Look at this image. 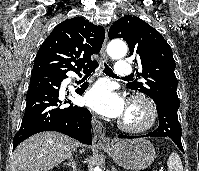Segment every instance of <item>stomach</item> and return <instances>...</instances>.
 Masks as SVG:
<instances>
[{"mask_svg":"<svg viewBox=\"0 0 199 171\" xmlns=\"http://www.w3.org/2000/svg\"><path fill=\"white\" fill-rule=\"evenodd\" d=\"M102 149L116 164L132 171L149 167L155 159L154 146L144 138L122 139Z\"/></svg>","mask_w":199,"mask_h":171,"instance_id":"obj_1","label":"stomach"}]
</instances>
